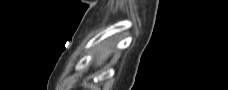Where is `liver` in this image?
Segmentation results:
<instances>
[{"mask_svg": "<svg viewBox=\"0 0 228 90\" xmlns=\"http://www.w3.org/2000/svg\"><path fill=\"white\" fill-rule=\"evenodd\" d=\"M110 53L111 51L109 46L101 49L96 56V66H101L102 64H104Z\"/></svg>", "mask_w": 228, "mask_h": 90, "instance_id": "1", "label": "liver"}]
</instances>
